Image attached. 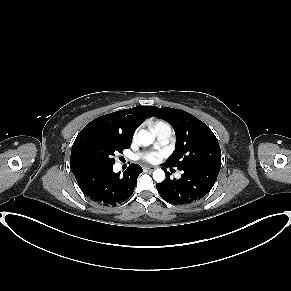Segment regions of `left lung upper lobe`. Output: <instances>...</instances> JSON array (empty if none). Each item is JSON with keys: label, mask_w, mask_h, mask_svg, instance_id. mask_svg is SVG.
Masks as SVG:
<instances>
[{"label": "left lung upper lobe", "mask_w": 291, "mask_h": 291, "mask_svg": "<svg viewBox=\"0 0 291 291\" xmlns=\"http://www.w3.org/2000/svg\"><path fill=\"white\" fill-rule=\"evenodd\" d=\"M152 115L166 120L175 130L176 147L166 165L178 169L194 164L221 166V150L211 129L180 109L155 107Z\"/></svg>", "instance_id": "5c2ea615"}]
</instances>
